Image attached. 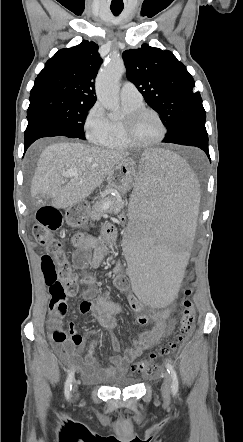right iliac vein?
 Instances as JSON below:
<instances>
[{
	"instance_id": "right-iliac-vein-1",
	"label": "right iliac vein",
	"mask_w": 243,
	"mask_h": 442,
	"mask_svg": "<svg viewBox=\"0 0 243 442\" xmlns=\"http://www.w3.org/2000/svg\"><path fill=\"white\" fill-rule=\"evenodd\" d=\"M78 384H79V381H75L74 382V389H73V392H74V396H75V398H78L79 397V393H78Z\"/></svg>"
}]
</instances>
